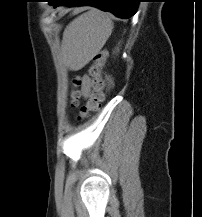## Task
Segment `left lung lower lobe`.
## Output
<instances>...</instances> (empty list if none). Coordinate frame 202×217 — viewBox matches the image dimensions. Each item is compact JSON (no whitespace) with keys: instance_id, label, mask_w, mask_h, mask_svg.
I'll list each match as a JSON object with an SVG mask.
<instances>
[{"instance_id":"0a47b994","label":"left lung lower lobe","mask_w":202,"mask_h":217,"mask_svg":"<svg viewBox=\"0 0 202 217\" xmlns=\"http://www.w3.org/2000/svg\"><path fill=\"white\" fill-rule=\"evenodd\" d=\"M140 0H50L54 7L61 5H90L111 12L120 18H130L136 13Z\"/></svg>"}]
</instances>
